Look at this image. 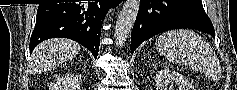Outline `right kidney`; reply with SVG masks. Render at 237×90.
<instances>
[{"instance_id": "right-kidney-1", "label": "right kidney", "mask_w": 237, "mask_h": 90, "mask_svg": "<svg viewBox=\"0 0 237 90\" xmlns=\"http://www.w3.org/2000/svg\"><path fill=\"white\" fill-rule=\"evenodd\" d=\"M76 82H78V78H73L72 84H76ZM55 86H56V84H55ZM53 88H54V86H53ZM57 88H58V86H57Z\"/></svg>"}]
</instances>
